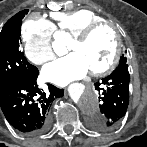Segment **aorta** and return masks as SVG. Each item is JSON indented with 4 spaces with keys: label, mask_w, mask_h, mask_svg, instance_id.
I'll use <instances>...</instances> for the list:
<instances>
[{
    "label": "aorta",
    "mask_w": 147,
    "mask_h": 147,
    "mask_svg": "<svg viewBox=\"0 0 147 147\" xmlns=\"http://www.w3.org/2000/svg\"><path fill=\"white\" fill-rule=\"evenodd\" d=\"M53 49L57 54H62L65 49L64 43L59 40L53 42ZM71 97L76 101L81 109L90 116H96L99 114V100L96 93L84 86H75L71 90Z\"/></svg>",
    "instance_id": "762f6f07"
}]
</instances>
